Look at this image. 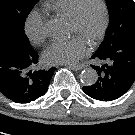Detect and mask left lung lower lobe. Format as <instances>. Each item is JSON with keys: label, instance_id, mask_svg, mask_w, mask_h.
<instances>
[{"label": "left lung lower lobe", "instance_id": "0a47b994", "mask_svg": "<svg viewBox=\"0 0 135 135\" xmlns=\"http://www.w3.org/2000/svg\"><path fill=\"white\" fill-rule=\"evenodd\" d=\"M92 59L103 63L94 66L98 80L83 91L101 101H112L124 95L135 81V39L113 45L104 51H96Z\"/></svg>", "mask_w": 135, "mask_h": 135}]
</instances>
